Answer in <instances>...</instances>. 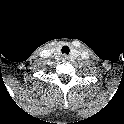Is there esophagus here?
<instances>
[{"mask_svg": "<svg viewBox=\"0 0 124 124\" xmlns=\"http://www.w3.org/2000/svg\"><path fill=\"white\" fill-rule=\"evenodd\" d=\"M62 59H63V61H68V60H69V57H68L67 55H64V56L62 57Z\"/></svg>", "mask_w": 124, "mask_h": 124, "instance_id": "1", "label": "esophagus"}]
</instances>
